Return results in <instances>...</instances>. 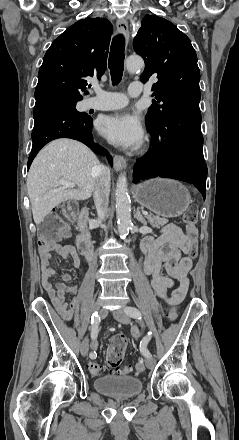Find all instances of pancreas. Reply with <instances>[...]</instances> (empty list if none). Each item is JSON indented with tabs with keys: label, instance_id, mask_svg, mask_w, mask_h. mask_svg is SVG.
<instances>
[{
	"label": "pancreas",
	"instance_id": "1",
	"mask_svg": "<svg viewBox=\"0 0 239 440\" xmlns=\"http://www.w3.org/2000/svg\"><path fill=\"white\" fill-rule=\"evenodd\" d=\"M145 218H147L152 228H160V226H165V224L168 222L167 218H160V216H153V214H150V216H145Z\"/></svg>",
	"mask_w": 239,
	"mask_h": 440
}]
</instances>
